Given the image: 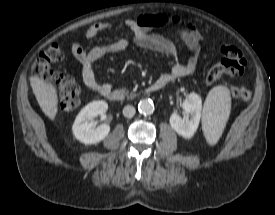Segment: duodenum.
I'll return each mask as SVG.
<instances>
[{
    "label": "duodenum",
    "mask_w": 275,
    "mask_h": 215,
    "mask_svg": "<svg viewBox=\"0 0 275 215\" xmlns=\"http://www.w3.org/2000/svg\"><path fill=\"white\" fill-rule=\"evenodd\" d=\"M167 84H168L167 79L159 78L157 81H155L153 84H151L150 86H148L146 88V92H148V93L157 92V91L163 89ZM103 96L105 98H107L108 100L118 102V101H122L124 99L125 95L120 90H109V91L105 92V94Z\"/></svg>",
    "instance_id": "410a0bca"
}]
</instances>
